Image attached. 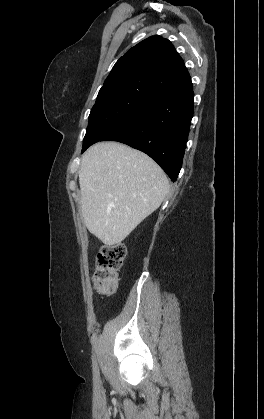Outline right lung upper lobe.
Listing matches in <instances>:
<instances>
[{"label": "right lung upper lobe", "instance_id": "cb5924a9", "mask_svg": "<svg viewBox=\"0 0 264 419\" xmlns=\"http://www.w3.org/2000/svg\"><path fill=\"white\" fill-rule=\"evenodd\" d=\"M126 84L153 96L192 86L190 75L172 43L151 36L132 47L110 72L102 88Z\"/></svg>", "mask_w": 264, "mask_h": 419}]
</instances>
